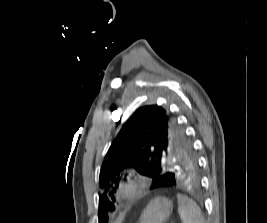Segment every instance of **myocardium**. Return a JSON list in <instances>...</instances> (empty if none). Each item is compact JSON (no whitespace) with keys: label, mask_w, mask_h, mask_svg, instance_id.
I'll use <instances>...</instances> for the list:
<instances>
[{"label":"myocardium","mask_w":267,"mask_h":223,"mask_svg":"<svg viewBox=\"0 0 267 223\" xmlns=\"http://www.w3.org/2000/svg\"><path fill=\"white\" fill-rule=\"evenodd\" d=\"M145 185L146 183L143 177L133 176L121 181L117 185L115 195L121 201H132L140 195Z\"/></svg>","instance_id":"myocardium-1"}]
</instances>
